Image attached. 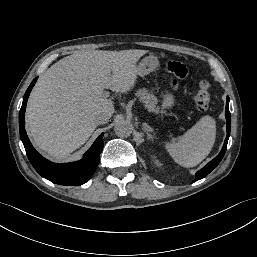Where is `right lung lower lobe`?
Instances as JSON below:
<instances>
[{
    "label": "right lung lower lobe",
    "instance_id": "obj_1",
    "mask_svg": "<svg viewBox=\"0 0 257 257\" xmlns=\"http://www.w3.org/2000/svg\"><path fill=\"white\" fill-rule=\"evenodd\" d=\"M35 78L28 87L19 114L20 137L26 154L35 170L47 180L69 186H79L87 182L99 164V154L103 149V133L95 140L91 148L84 154V158L77 162L57 164L43 158L32 146L25 131V109L29 94L36 83Z\"/></svg>",
    "mask_w": 257,
    "mask_h": 257
}]
</instances>
